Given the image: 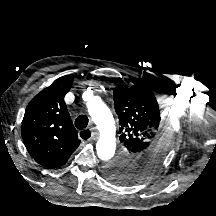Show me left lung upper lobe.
<instances>
[{
  "mask_svg": "<svg viewBox=\"0 0 216 216\" xmlns=\"http://www.w3.org/2000/svg\"><path fill=\"white\" fill-rule=\"evenodd\" d=\"M114 108L119 118L121 152L104 168L117 184L142 180L167 157L172 144L169 116L159 109L149 84L134 83L114 89Z\"/></svg>",
  "mask_w": 216,
  "mask_h": 216,
  "instance_id": "5c2ea615",
  "label": "left lung upper lobe"
}]
</instances>
